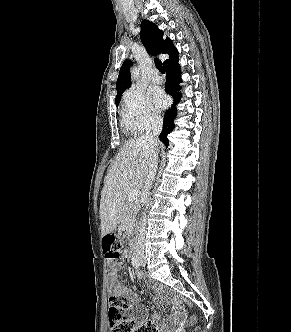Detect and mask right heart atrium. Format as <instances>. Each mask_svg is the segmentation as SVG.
I'll use <instances>...</instances> for the list:
<instances>
[{
	"label": "right heart atrium",
	"instance_id": "1",
	"mask_svg": "<svg viewBox=\"0 0 291 332\" xmlns=\"http://www.w3.org/2000/svg\"><path fill=\"white\" fill-rule=\"evenodd\" d=\"M123 123L132 132H144L161 123V117L146 94L137 88L123 96Z\"/></svg>",
	"mask_w": 291,
	"mask_h": 332
}]
</instances>
